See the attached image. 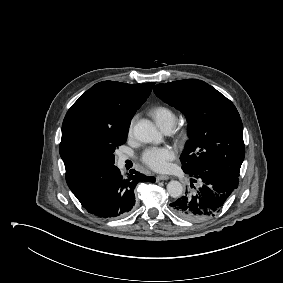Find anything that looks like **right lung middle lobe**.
Segmentation results:
<instances>
[{
  "instance_id": "dd1d6c3e",
  "label": "right lung middle lobe",
  "mask_w": 283,
  "mask_h": 283,
  "mask_svg": "<svg viewBox=\"0 0 283 283\" xmlns=\"http://www.w3.org/2000/svg\"><path fill=\"white\" fill-rule=\"evenodd\" d=\"M128 129L129 128H124L117 131L107 132L94 144L98 150L104 153L111 165L114 164L113 152L119 145H122L126 141Z\"/></svg>"
}]
</instances>
